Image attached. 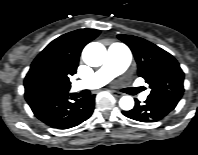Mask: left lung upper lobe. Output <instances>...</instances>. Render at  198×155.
Instances as JSON below:
<instances>
[{
  "instance_id": "1",
  "label": "left lung upper lobe",
  "mask_w": 198,
  "mask_h": 155,
  "mask_svg": "<svg viewBox=\"0 0 198 155\" xmlns=\"http://www.w3.org/2000/svg\"><path fill=\"white\" fill-rule=\"evenodd\" d=\"M132 50L138 64V75L149 84L148 98L180 100L184 73L175 58L155 44L131 35H118Z\"/></svg>"
}]
</instances>
